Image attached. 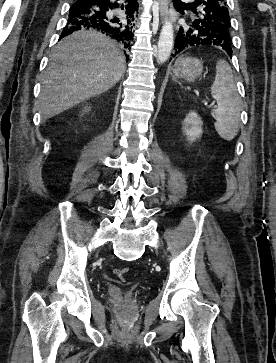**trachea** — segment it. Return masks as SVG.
<instances>
[{
	"label": "trachea",
	"mask_w": 276,
	"mask_h": 363,
	"mask_svg": "<svg viewBox=\"0 0 276 363\" xmlns=\"http://www.w3.org/2000/svg\"><path fill=\"white\" fill-rule=\"evenodd\" d=\"M174 4H179L183 6H187L188 4L183 3L181 0H173Z\"/></svg>",
	"instance_id": "obj_1"
}]
</instances>
